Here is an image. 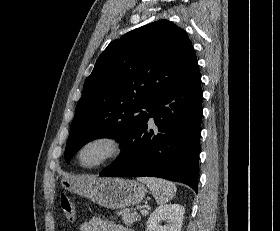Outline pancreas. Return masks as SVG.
Here are the masks:
<instances>
[{
	"label": "pancreas",
	"mask_w": 280,
	"mask_h": 231,
	"mask_svg": "<svg viewBox=\"0 0 280 231\" xmlns=\"http://www.w3.org/2000/svg\"><path fill=\"white\" fill-rule=\"evenodd\" d=\"M119 215H122V219L126 225H132L134 221H139L141 219V215H138L136 211H129V209H121V211H117Z\"/></svg>",
	"instance_id": "obj_1"
}]
</instances>
